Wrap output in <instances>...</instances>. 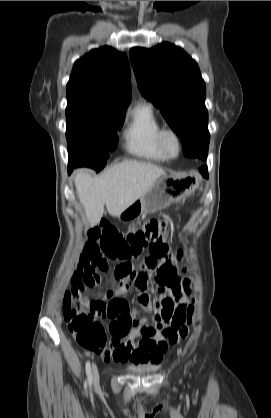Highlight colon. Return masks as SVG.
Instances as JSON below:
<instances>
[{
	"label": "colon",
	"mask_w": 271,
	"mask_h": 418,
	"mask_svg": "<svg viewBox=\"0 0 271 418\" xmlns=\"http://www.w3.org/2000/svg\"><path fill=\"white\" fill-rule=\"evenodd\" d=\"M166 225L165 219L153 218L123 234L110 222L103 221L89 231L79 265L72 276L73 287L65 293L63 299L64 320L79 345L96 352L105 348L110 342L105 327L96 321L97 314H90L89 308L84 310L81 306V302L85 300V287L79 288V286L83 281L88 283L86 286H93L96 281L94 265L98 262L104 267L106 257L130 262L141 256L153 241L163 242L168 254L169 248L165 240ZM162 317L166 322V327L162 330L165 342L160 346H167V343L174 345L186 338L188 326L193 319V307L174 311L165 309ZM144 332L148 333V330Z\"/></svg>",
	"instance_id": "5ec220e1"
}]
</instances>
